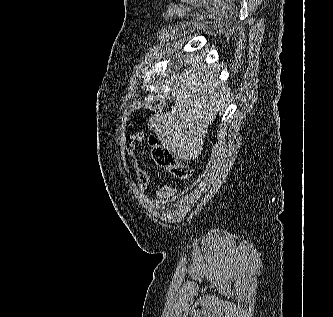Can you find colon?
<instances>
[{
	"label": "colon",
	"instance_id": "obj_1",
	"mask_svg": "<svg viewBox=\"0 0 333 317\" xmlns=\"http://www.w3.org/2000/svg\"><path fill=\"white\" fill-rule=\"evenodd\" d=\"M151 156L154 162L167 170L171 175L186 180L190 177L189 167L176 157L157 137L150 136L148 139Z\"/></svg>",
	"mask_w": 333,
	"mask_h": 317
}]
</instances>
